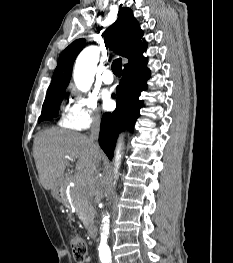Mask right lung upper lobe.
<instances>
[{"instance_id": "right-lung-upper-lobe-1", "label": "right lung upper lobe", "mask_w": 233, "mask_h": 263, "mask_svg": "<svg viewBox=\"0 0 233 263\" xmlns=\"http://www.w3.org/2000/svg\"><path fill=\"white\" fill-rule=\"evenodd\" d=\"M142 35L132 10L121 8L116 22L105 31L104 39L110 49L129 60L128 64L124 65L126 67L146 60L142 53L146 50L147 43L145 40L141 41ZM84 46L85 40L78 39L61 53L47 94L68 86L73 63Z\"/></svg>"}]
</instances>
